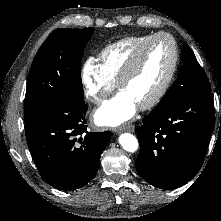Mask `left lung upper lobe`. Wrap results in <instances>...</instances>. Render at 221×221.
Returning <instances> with one entry per match:
<instances>
[{
	"mask_svg": "<svg viewBox=\"0 0 221 221\" xmlns=\"http://www.w3.org/2000/svg\"><path fill=\"white\" fill-rule=\"evenodd\" d=\"M181 60L183 65L178 72L177 80L158 104L173 100L176 97H187L196 93L211 92L210 83L204 70L186 43L182 48Z\"/></svg>",
	"mask_w": 221,
	"mask_h": 221,
	"instance_id": "left-lung-upper-lobe-1",
	"label": "left lung upper lobe"
}]
</instances>
